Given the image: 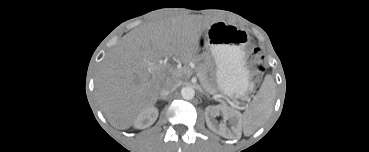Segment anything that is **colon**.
Returning a JSON list of instances; mask_svg holds the SVG:
<instances>
[{
	"instance_id": "5ec220e1",
	"label": "colon",
	"mask_w": 369,
	"mask_h": 152,
	"mask_svg": "<svg viewBox=\"0 0 369 152\" xmlns=\"http://www.w3.org/2000/svg\"><path fill=\"white\" fill-rule=\"evenodd\" d=\"M263 54L259 49H256L251 57V63L253 67V76L257 79L263 71Z\"/></svg>"
}]
</instances>
